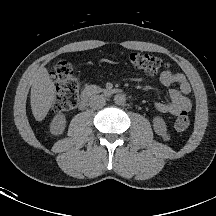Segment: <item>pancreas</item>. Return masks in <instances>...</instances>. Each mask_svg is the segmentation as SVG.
I'll return each instance as SVG.
<instances>
[{
	"label": "pancreas",
	"instance_id": "obj_1",
	"mask_svg": "<svg viewBox=\"0 0 216 216\" xmlns=\"http://www.w3.org/2000/svg\"><path fill=\"white\" fill-rule=\"evenodd\" d=\"M97 90L102 91L103 89H101L100 87H95Z\"/></svg>",
	"mask_w": 216,
	"mask_h": 216
}]
</instances>
